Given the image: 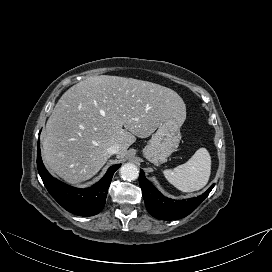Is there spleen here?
<instances>
[{
	"mask_svg": "<svg viewBox=\"0 0 272 272\" xmlns=\"http://www.w3.org/2000/svg\"><path fill=\"white\" fill-rule=\"evenodd\" d=\"M211 157L206 148H199L184 164L173 170H164L170 184L182 192H193L203 188L209 181Z\"/></svg>",
	"mask_w": 272,
	"mask_h": 272,
	"instance_id": "3e777b00",
	"label": "spleen"
}]
</instances>
